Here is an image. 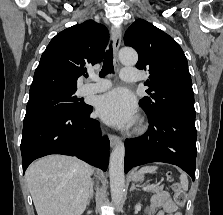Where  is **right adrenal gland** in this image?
I'll use <instances>...</instances> for the list:
<instances>
[{
	"label": "right adrenal gland",
	"instance_id": "obj_1",
	"mask_svg": "<svg viewBox=\"0 0 223 215\" xmlns=\"http://www.w3.org/2000/svg\"><path fill=\"white\" fill-rule=\"evenodd\" d=\"M94 185H95L94 181H91V183H90V191H89V195H88V199H87L86 205H90V201H91V199H92V197L94 195Z\"/></svg>",
	"mask_w": 223,
	"mask_h": 215
}]
</instances>
